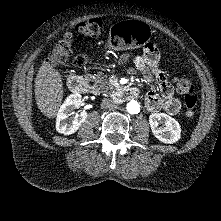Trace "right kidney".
I'll use <instances>...</instances> for the list:
<instances>
[{"label":"right kidney","instance_id":"obj_1","mask_svg":"<svg viewBox=\"0 0 221 221\" xmlns=\"http://www.w3.org/2000/svg\"><path fill=\"white\" fill-rule=\"evenodd\" d=\"M81 105V95L72 94L68 96L58 110L56 118V130L65 135L75 133L79 127L86 121L88 114L85 111L77 114L74 119L69 116L74 114V110Z\"/></svg>","mask_w":221,"mask_h":221}]
</instances>
